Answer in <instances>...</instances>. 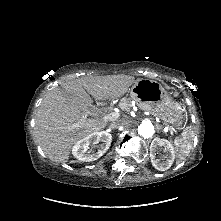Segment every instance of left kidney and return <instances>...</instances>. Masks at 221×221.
<instances>
[{"label":"left kidney","instance_id":"obj_1","mask_svg":"<svg viewBox=\"0 0 221 221\" xmlns=\"http://www.w3.org/2000/svg\"><path fill=\"white\" fill-rule=\"evenodd\" d=\"M158 147H164L165 157L161 161L156 159V151ZM150 158L152 165L159 171H165L169 169L175 159V151L172 144L166 139L155 138L150 146Z\"/></svg>","mask_w":221,"mask_h":221}]
</instances>
